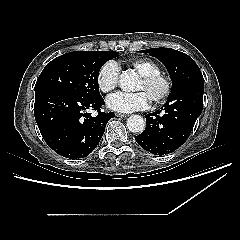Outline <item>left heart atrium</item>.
<instances>
[{
	"mask_svg": "<svg viewBox=\"0 0 240 240\" xmlns=\"http://www.w3.org/2000/svg\"><path fill=\"white\" fill-rule=\"evenodd\" d=\"M150 99L142 90L137 92L117 91L107 98L110 109L120 113H130L148 108Z\"/></svg>",
	"mask_w": 240,
	"mask_h": 240,
	"instance_id": "39dd6f15",
	"label": "left heart atrium"
}]
</instances>
